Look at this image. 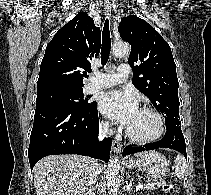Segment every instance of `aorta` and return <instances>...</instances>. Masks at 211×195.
Instances as JSON below:
<instances>
[{"mask_svg":"<svg viewBox=\"0 0 211 195\" xmlns=\"http://www.w3.org/2000/svg\"><path fill=\"white\" fill-rule=\"evenodd\" d=\"M116 57H126L130 54V46L127 43L117 42L112 47ZM107 180L109 193L116 195L119 190L120 163L117 157H112L108 163Z\"/></svg>","mask_w":211,"mask_h":195,"instance_id":"aorta-1","label":"aorta"}]
</instances>
